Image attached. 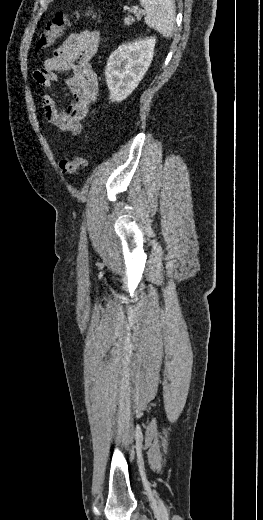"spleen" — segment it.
<instances>
[{
  "instance_id": "1",
  "label": "spleen",
  "mask_w": 263,
  "mask_h": 520,
  "mask_svg": "<svg viewBox=\"0 0 263 520\" xmlns=\"http://www.w3.org/2000/svg\"><path fill=\"white\" fill-rule=\"evenodd\" d=\"M140 4L145 9V23L163 37H172L176 16L174 0H140Z\"/></svg>"
}]
</instances>
